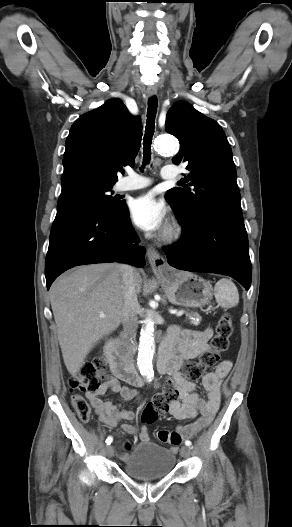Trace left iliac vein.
I'll return each instance as SVG.
<instances>
[{
    "label": "left iliac vein",
    "instance_id": "1",
    "mask_svg": "<svg viewBox=\"0 0 292 527\" xmlns=\"http://www.w3.org/2000/svg\"><path fill=\"white\" fill-rule=\"evenodd\" d=\"M180 454H181V456H183L184 458L189 457L190 454H191L190 448L187 447V446L182 447V449H181V451H180Z\"/></svg>",
    "mask_w": 292,
    "mask_h": 527
}]
</instances>
